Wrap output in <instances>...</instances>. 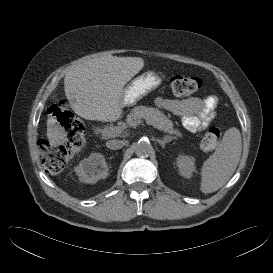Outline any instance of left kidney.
Instances as JSON below:
<instances>
[{
  "mask_svg": "<svg viewBox=\"0 0 273 273\" xmlns=\"http://www.w3.org/2000/svg\"><path fill=\"white\" fill-rule=\"evenodd\" d=\"M176 162L180 175L184 178H190L192 173L195 171L194 157L188 155H179Z\"/></svg>",
  "mask_w": 273,
  "mask_h": 273,
  "instance_id": "1",
  "label": "left kidney"
}]
</instances>
